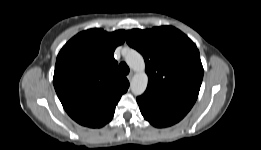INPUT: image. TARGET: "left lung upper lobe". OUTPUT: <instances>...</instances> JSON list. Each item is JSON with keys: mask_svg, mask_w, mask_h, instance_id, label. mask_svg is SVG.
Masks as SVG:
<instances>
[{"mask_svg": "<svg viewBox=\"0 0 261 150\" xmlns=\"http://www.w3.org/2000/svg\"><path fill=\"white\" fill-rule=\"evenodd\" d=\"M126 40L145 59L148 86L143 95L190 110L204 72L196 45L172 26L132 29Z\"/></svg>", "mask_w": 261, "mask_h": 150, "instance_id": "obj_1", "label": "left lung upper lobe"}]
</instances>
